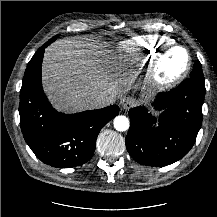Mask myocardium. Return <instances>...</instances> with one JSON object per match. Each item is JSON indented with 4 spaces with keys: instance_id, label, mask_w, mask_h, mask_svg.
I'll return each instance as SVG.
<instances>
[{
    "instance_id": "obj_1",
    "label": "myocardium",
    "mask_w": 217,
    "mask_h": 217,
    "mask_svg": "<svg viewBox=\"0 0 217 217\" xmlns=\"http://www.w3.org/2000/svg\"><path fill=\"white\" fill-rule=\"evenodd\" d=\"M175 50H181L186 55V64L185 66L176 74L171 77L163 78V64L166 58ZM192 66V57L188 49L181 45H170L163 50H161L154 60L152 61V65L150 71L147 76V84L149 88L157 91H166L174 88L177 84H179L189 73Z\"/></svg>"
}]
</instances>
